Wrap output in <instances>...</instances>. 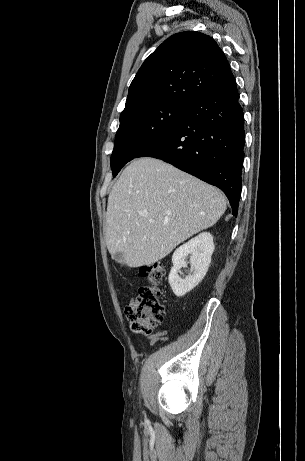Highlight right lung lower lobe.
<instances>
[{
  "instance_id": "right-lung-lower-lobe-1",
  "label": "right lung lower lobe",
  "mask_w": 305,
  "mask_h": 461,
  "mask_svg": "<svg viewBox=\"0 0 305 461\" xmlns=\"http://www.w3.org/2000/svg\"><path fill=\"white\" fill-rule=\"evenodd\" d=\"M244 113L235 78L189 103L183 119L138 157H154L220 188L237 216L244 159Z\"/></svg>"
}]
</instances>
